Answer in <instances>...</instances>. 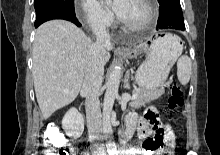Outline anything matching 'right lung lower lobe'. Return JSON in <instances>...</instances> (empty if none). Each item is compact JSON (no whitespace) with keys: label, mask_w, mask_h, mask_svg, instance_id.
I'll list each match as a JSON object with an SVG mask.
<instances>
[{"label":"right lung lower lobe","mask_w":220,"mask_h":155,"mask_svg":"<svg viewBox=\"0 0 220 155\" xmlns=\"http://www.w3.org/2000/svg\"><path fill=\"white\" fill-rule=\"evenodd\" d=\"M52 19H64V20H68V21L73 22L77 26H81V24L79 23V21L77 20V18L75 16V14H71V13H67V12H63V11H55V12L48 13L44 16H41L39 18H36L35 27L37 28L42 23H44L48 20H52Z\"/></svg>","instance_id":"right-lung-lower-lobe-1"}]
</instances>
